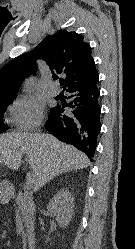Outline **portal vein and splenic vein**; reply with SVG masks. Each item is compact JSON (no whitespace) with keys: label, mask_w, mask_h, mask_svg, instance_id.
<instances>
[{"label":"portal vein and splenic vein","mask_w":135,"mask_h":249,"mask_svg":"<svg viewBox=\"0 0 135 249\" xmlns=\"http://www.w3.org/2000/svg\"><path fill=\"white\" fill-rule=\"evenodd\" d=\"M34 177L33 175H29V177L26 179V187L29 189L33 186Z\"/></svg>","instance_id":"portal-vein-and-splenic-vein-1"}]
</instances>
